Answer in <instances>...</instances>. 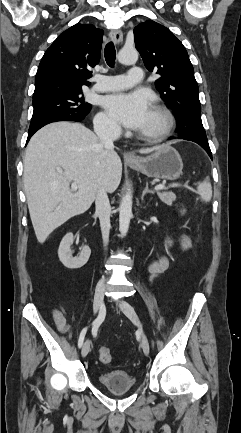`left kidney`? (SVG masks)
I'll list each match as a JSON object with an SVG mask.
<instances>
[{"label": "left kidney", "mask_w": 241, "mask_h": 433, "mask_svg": "<svg viewBox=\"0 0 241 433\" xmlns=\"http://www.w3.org/2000/svg\"><path fill=\"white\" fill-rule=\"evenodd\" d=\"M166 243H168V245H171L172 241L171 240H167Z\"/></svg>", "instance_id": "1"}]
</instances>
